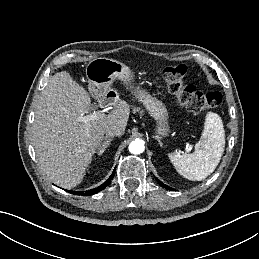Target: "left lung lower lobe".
I'll return each mask as SVG.
<instances>
[{"mask_svg": "<svg viewBox=\"0 0 259 259\" xmlns=\"http://www.w3.org/2000/svg\"><path fill=\"white\" fill-rule=\"evenodd\" d=\"M157 181L159 182V184H160L162 187H165L166 189H169V190H173V189L170 188L169 186L163 184L160 180L157 179Z\"/></svg>", "mask_w": 259, "mask_h": 259, "instance_id": "0a47b994", "label": "left lung lower lobe"}]
</instances>
